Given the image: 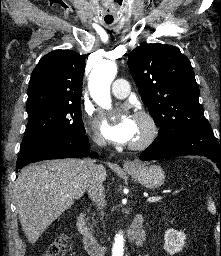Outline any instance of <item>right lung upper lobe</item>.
I'll return each mask as SVG.
<instances>
[{"label":"right lung upper lobe","instance_id":"cb5924a9","mask_svg":"<svg viewBox=\"0 0 221 256\" xmlns=\"http://www.w3.org/2000/svg\"><path fill=\"white\" fill-rule=\"evenodd\" d=\"M85 58L72 50L43 56L32 72L26 109L43 104L81 103Z\"/></svg>","mask_w":221,"mask_h":256}]
</instances>
